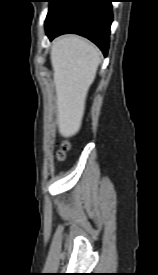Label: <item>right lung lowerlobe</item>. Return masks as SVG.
<instances>
[{"label":"right lung lower lobe","instance_id":"1","mask_svg":"<svg viewBox=\"0 0 158 275\" xmlns=\"http://www.w3.org/2000/svg\"><path fill=\"white\" fill-rule=\"evenodd\" d=\"M111 2L59 0L46 17V34L51 40L61 34H79L94 42L106 55L113 20Z\"/></svg>","mask_w":158,"mask_h":275}]
</instances>
